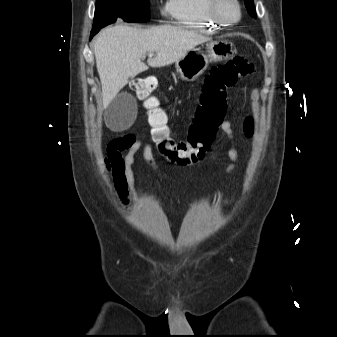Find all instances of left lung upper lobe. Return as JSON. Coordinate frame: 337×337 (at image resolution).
Returning a JSON list of instances; mask_svg holds the SVG:
<instances>
[{
    "label": "left lung upper lobe",
    "instance_id": "1",
    "mask_svg": "<svg viewBox=\"0 0 337 337\" xmlns=\"http://www.w3.org/2000/svg\"><path fill=\"white\" fill-rule=\"evenodd\" d=\"M245 5H246L248 13L252 17H256V10H255L254 4H253V0H245Z\"/></svg>",
    "mask_w": 337,
    "mask_h": 337
}]
</instances>
